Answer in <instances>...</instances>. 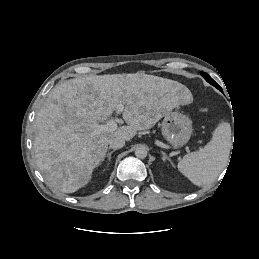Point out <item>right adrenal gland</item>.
I'll list each match as a JSON object with an SVG mask.
<instances>
[{
  "instance_id": "2a0ac1e0",
  "label": "right adrenal gland",
  "mask_w": 259,
  "mask_h": 259,
  "mask_svg": "<svg viewBox=\"0 0 259 259\" xmlns=\"http://www.w3.org/2000/svg\"><path fill=\"white\" fill-rule=\"evenodd\" d=\"M115 152V150H112L111 152H108L107 154H106V158H107V166H108V164H109V161L111 160V155L113 154Z\"/></svg>"
}]
</instances>
